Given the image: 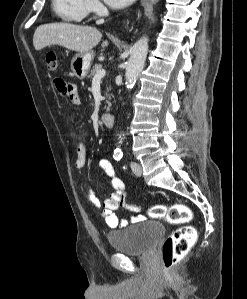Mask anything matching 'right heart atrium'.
Instances as JSON below:
<instances>
[{
	"label": "right heart atrium",
	"mask_w": 247,
	"mask_h": 299,
	"mask_svg": "<svg viewBox=\"0 0 247 299\" xmlns=\"http://www.w3.org/2000/svg\"><path fill=\"white\" fill-rule=\"evenodd\" d=\"M89 12H98L101 9V5L98 0H88Z\"/></svg>",
	"instance_id": "obj_1"
}]
</instances>
